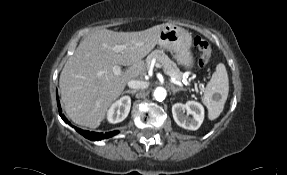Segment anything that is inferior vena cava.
<instances>
[{
  "mask_svg": "<svg viewBox=\"0 0 287 175\" xmlns=\"http://www.w3.org/2000/svg\"><path fill=\"white\" fill-rule=\"evenodd\" d=\"M128 86L133 89H145L148 85L147 82L140 80H130Z\"/></svg>",
  "mask_w": 287,
  "mask_h": 175,
  "instance_id": "inferior-vena-cava-1",
  "label": "inferior vena cava"
}]
</instances>
